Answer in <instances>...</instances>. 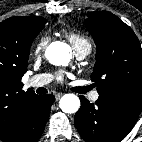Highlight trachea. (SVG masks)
I'll use <instances>...</instances> for the list:
<instances>
[{
  "mask_svg": "<svg viewBox=\"0 0 142 142\" xmlns=\"http://www.w3.org/2000/svg\"><path fill=\"white\" fill-rule=\"evenodd\" d=\"M88 90H89V88H85V89H84V92H86V91H88Z\"/></svg>",
  "mask_w": 142,
  "mask_h": 142,
  "instance_id": "1",
  "label": "trachea"
}]
</instances>
